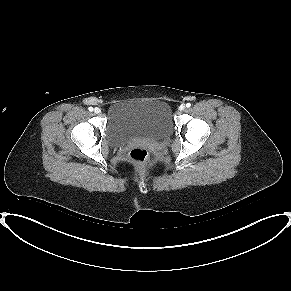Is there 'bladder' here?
Here are the masks:
<instances>
[{"mask_svg": "<svg viewBox=\"0 0 291 291\" xmlns=\"http://www.w3.org/2000/svg\"><path fill=\"white\" fill-rule=\"evenodd\" d=\"M173 117L161 99H131L112 103L107 109L106 135L112 145L135 137L158 138L171 132Z\"/></svg>", "mask_w": 291, "mask_h": 291, "instance_id": "31cf9c89", "label": "bladder"}]
</instances>
